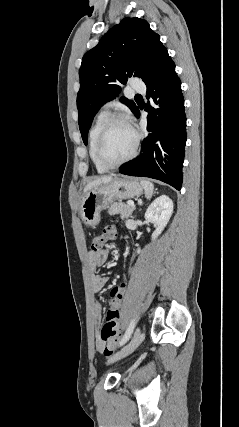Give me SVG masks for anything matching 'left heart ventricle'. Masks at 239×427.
Returning <instances> with one entry per match:
<instances>
[{
    "instance_id": "b2bd125f",
    "label": "left heart ventricle",
    "mask_w": 239,
    "mask_h": 427,
    "mask_svg": "<svg viewBox=\"0 0 239 427\" xmlns=\"http://www.w3.org/2000/svg\"><path fill=\"white\" fill-rule=\"evenodd\" d=\"M135 135L125 123L116 124L108 133L102 155L108 162H117L125 158L132 150Z\"/></svg>"
}]
</instances>
